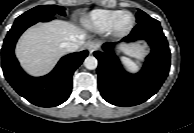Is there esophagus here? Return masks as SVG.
Returning <instances> with one entry per match:
<instances>
[{
  "instance_id": "1",
  "label": "esophagus",
  "mask_w": 194,
  "mask_h": 133,
  "mask_svg": "<svg viewBox=\"0 0 194 133\" xmlns=\"http://www.w3.org/2000/svg\"><path fill=\"white\" fill-rule=\"evenodd\" d=\"M98 47H99V45L94 41H90L87 44V49L89 50L90 53H93L95 50L98 49Z\"/></svg>"
}]
</instances>
